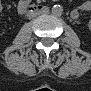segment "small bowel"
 <instances>
[{"label": "small bowel", "instance_id": "small-bowel-1", "mask_svg": "<svg viewBox=\"0 0 91 91\" xmlns=\"http://www.w3.org/2000/svg\"><path fill=\"white\" fill-rule=\"evenodd\" d=\"M26 6H27V1L26 0L19 1V3H18V9L20 11L24 10L26 8ZM73 13L76 14V12H73Z\"/></svg>", "mask_w": 91, "mask_h": 91}]
</instances>
